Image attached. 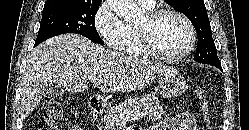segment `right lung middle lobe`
Listing matches in <instances>:
<instances>
[{
  "mask_svg": "<svg viewBox=\"0 0 249 130\" xmlns=\"http://www.w3.org/2000/svg\"><path fill=\"white\" fill-rule=\"evenodd\" d=\"M100 4L63 0L44 5L35 45L65 33H77L103 45L95 28V14Z\"/></svg>",
  "mask_w": 249,
  "mask_h": 130,
  "instance_id": "obj_1",
  "label": "right lung middle lobe"
}]
</instances>
